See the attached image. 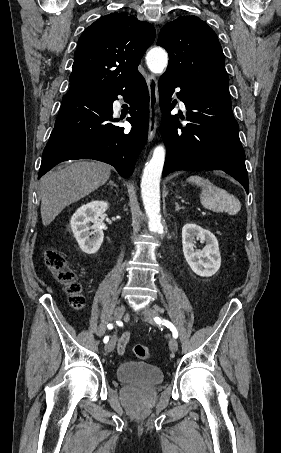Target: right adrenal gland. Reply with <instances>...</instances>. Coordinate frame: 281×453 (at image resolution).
Wrapping results in <instances>:
<instances>
[{
	"instance_id": "2a0ac1e0",
	"label": "right adrenal gland",
	"mask_w": 281,
	"mask_h": 453,
	"mask_svg": "<svg viewBox=\"0 0 281 453\" xmlns=\"http://www.w3.org/2000/svg\"><path fill=\"white\" fill-rule=\"evenodd\" d=\"M107 184H111V188H113V186H116V188H117V184H115V182H113V180H109V182H107Z\"/></svg>"
}]
</instances>
